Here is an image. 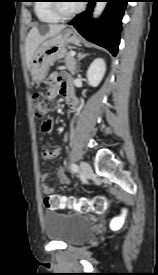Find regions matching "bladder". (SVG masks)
<instances>
[{
	"label": "bladder",
	"instance_id": "obj_1",
	"mask_svg": "<svg viewBox=\"0 0 158 275\" xmlns=\"http://www.w3.org/2000/svg\"><path fill=\"white\" fill-rule=\"evenodd\" d=\"M43 229L48 239L75 245L90 237L93 222L77 213L47 210L43 214Z\"/></svg>",
	"mask_w": 158,
	"mask_h": 275
}]
</instances>
